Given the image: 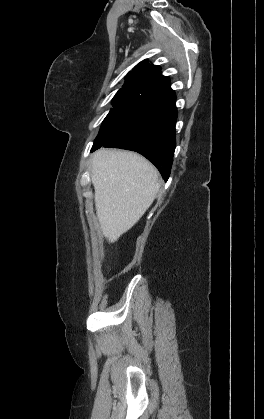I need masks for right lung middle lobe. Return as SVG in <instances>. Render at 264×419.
Masks as SVG:
<instances>
[{"instance_id":"dd1d6c3e","label":"right lung middle lobe","mask_w":264,"mask_h":419,"mask_svg":"<svg viewBox=\"0 0 264 419\" xmlns=\"http://www.w3.org/2000/svg\"><path fill=\"white\" fill-rule=\"evenodd\" d=\"M149 99L147 95L121 88L113 98V109L104 119L92 148L102 146L124 129Z\"/></svg>"}]
</instances>
